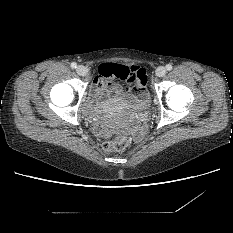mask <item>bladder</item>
<instances>
[{"label":"bladder","instance_id":"bladder-1","mask_svg":"<svg viewBox=\"0 0 233 233\" xmlns=\"http://www.w3.org/2000/svg\"><path fill=\"white\" fill-rule=\"evenodd\" d=\"M151 102V98L148 92H145L142 97V102L140 103V107H145ZM130 113V112H129Z\"/></svg>","mask_w":233,"mask_h":233}]
</instances>
